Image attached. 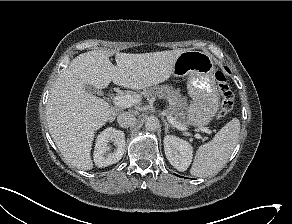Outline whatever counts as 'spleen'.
<instances>
[{"label":"spleen","instance_id":"3e777b00","mask_svg":"<svg viewBox=\"0 0 292 224\" xmlns=\"http://www.w3.org/2000/svg\"><path fill=\"white\" fill-rule=\"evenodd\" d=\"M239 133L240 122L234 118L222 127L209 143L198 148L191 174L196 177H206L218 173L233 152Z\"/></svg>","mask_w":292,"mask_h":224}]
</instances>
